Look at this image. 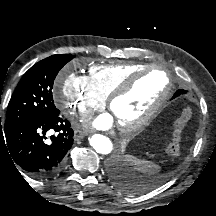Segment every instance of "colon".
<instances>
[{"mask_svg":"<svg viewBox=\"0 0 216 216\" xmlns=\"http://www.w3.org/2000/svg\"><path fill=\"white\" fill-rule=\"evenodd\" d=\"M191 115H192V111L190 107H184L180 111L173 125L171 141L167 148L168 155L170 156L179 155L181 151L182 131L186 126L187 122L190 120Z\"/></svg>","mask_w":216,"mask_h":216,"instance_id":"1","label":"colon"}]
</instances>
